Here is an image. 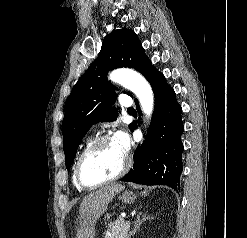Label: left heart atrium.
I'll list each match as a JSON object with an SVG mask.
<instances>
[{
	"label": "left heart atrium",
	"instance_id": "left-heart-atrium-1",
	"mask_svg": "<svg viewBox=\"0 0 247 238\" xmlns=\"http://www.w3.org/2000/svg\"><path fill=\"white\" fill-rule=\"evenodd\" d=\"M116 146L123 152L127 153L130 147V140L127 133L123 130H117L112 138Z\"/></svg>",
	"mask_w": 247,
	"mask_h": 238
}]
</instances>
